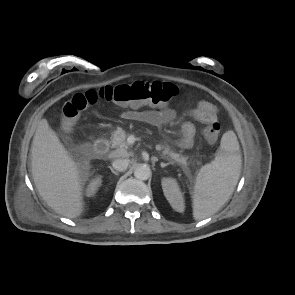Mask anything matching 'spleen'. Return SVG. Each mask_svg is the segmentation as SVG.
Here are the masks:
<instances>
[{
  "label": "spleen",
  "instance_id": "3e777b00",
  "mask_svg": "<svg viewBox=\"0 0 295 295\" xmlns=\"http://www.w3.org/2000/svg\"><path fill=\"white\" fill-rule=\"evenodd\" d=\"M242 168L239 143L233 131L224 133L214 161L204 165L196 177L193 191V217H210L233 193Z\"/></svg>",
  "mask_w": 295,
  "mask_h": 295
}]
</instances>
